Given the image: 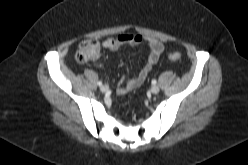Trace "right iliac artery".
Returning a JSON list of instances; mask_svg holds the SVG:
<instances>
[{"instance_id": "obj_1", "label": "right iliac artery", "mask_w": 248, "mask_h": 165, "mask_svg": "<svg viewBox=\"0 0 248 165\" xmlns=\"http://www.w3.org/2000/svg\"><path fill=\"white\" fill-rule=\"evenodd\" d=\"M99 86H102V81H98V83H97Z\"/></svg>"}]
</instances>
